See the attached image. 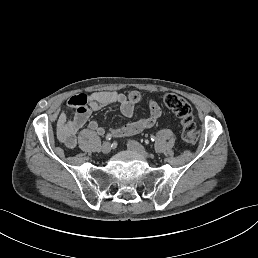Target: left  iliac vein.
I'll return each instance as SVG.
<instances>
[{
    "instance_id": "left-iliac-vein-1",
    "label": "left iliac vein",
    "mask_w": 258,
    "mask_h": 258,
    "mask_svg": "<svg viewBox=\"0 0 258 258\" xmlns=\"http://www.w3.org/2000/svg\"><path fill=\"white\" fill-rule=\"evenodd\" d=\"M128 148L132 149L133 152H137L140 154V156L144 159H150L152 158V153L147 152L146 150L143 149L142 145L139 144L138 142L135 141H130L128 143Z\"/></svg>"
}]
</instances>
